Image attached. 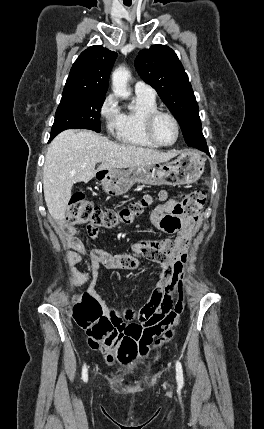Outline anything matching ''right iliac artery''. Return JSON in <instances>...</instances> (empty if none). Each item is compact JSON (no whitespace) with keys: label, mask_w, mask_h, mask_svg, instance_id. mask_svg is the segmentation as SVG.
<instances>
[{"label":"right iliac artery","mask_w":264,"mask_h":429,"mask_svg":"<svg viewBox=\"0 0 264 429\" xmlns=\"http://www.w3.org/2000/svg\"><path fill=\"white\" fill-rule=\"evenodd\" d=\"M82 379L86 382L88 380V372L86 365L83 366L82 369Z\"/></svg>","instance_id":"82829eb1"}]
</instances>
